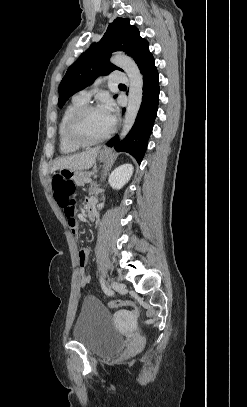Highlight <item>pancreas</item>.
<instances>
[{
    "instance_id": "obj_1",
    "label": "pancreas",
    "mask_w": 247,
    "mask_h": 407,
    "mask_svg": "<svg viewBox=\"0 0 247 407\" xmlns=\"http://www.w3.org/2000/svg\"><path fill=\"white\" fill-rule=\"evenodd\" d=\"M92 172H82L79 173L75 178L74 181L76 183V185L78 186H84L87 182L86 179L90 178V176L92 175Z\"/></svg>"
}]
</instances>
